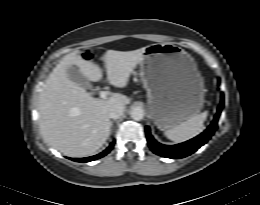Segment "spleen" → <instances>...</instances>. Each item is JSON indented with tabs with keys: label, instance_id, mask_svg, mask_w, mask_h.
Here are the masks:
<instances>
[{
	"label": "spleen",
	"instance_id": "obj_1",
	"mask_svg": "<svg viewBox=\"0 0 260 205\" xmlns=\"http://www.w3.org/2000/svg\"><path fill=\"white\" fill-rule=\"evenodd\" d=\"M207 116V111L194 115L185 122L166 130L164 134L176 143L185 142L202 132L203 123Z\"/></svg>",
	"mask_w": 260,
	"mask_h": 205
}]
</instances>
